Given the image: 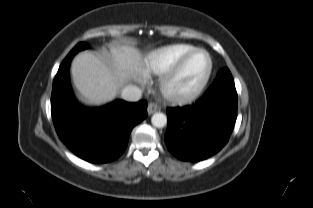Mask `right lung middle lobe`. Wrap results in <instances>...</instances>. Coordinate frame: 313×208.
Returning <instances> with one entry per match:
<instances>
[{
    "instance_id": "1",
    "label": "right lung middle lobe",
    "mask_w": 313,
    "mask_h": 208,
    "mask_svg": "<svg viewBox=\"0 0 313 208\" xmlns=\"http://www.w3.org/2000/svg\"><path fill=\"white\" fill-rule=\"evenodd\" d=\"M89 45L87 43H84V42H81V43H78L72 50L70 53H75L77 51H80L82 49H86L88 48Z\"/></svg>"
}]
</instances>
